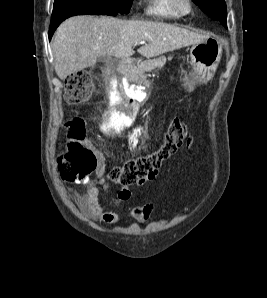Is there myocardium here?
I'll list each match as a JSON object with an SVG mask.
<instances>
[{"instance_id":"obj_1","label":"myocardium","mask_w":267,"mask_h":298,"mask_svg":"<svg viewBox=\"0 0 267 298\" xmlns=\"http://www.w3.org/2000/svg\"><path fill=\"white\" fill-rule=\"evenodd\" d=\"M184 1L187 5L186 9L181 8L179 4V0H169L171 8L181 16L188 15L189 13L192 12V9H193L192 0H184Z\"/></svg>"}]
</instances>
